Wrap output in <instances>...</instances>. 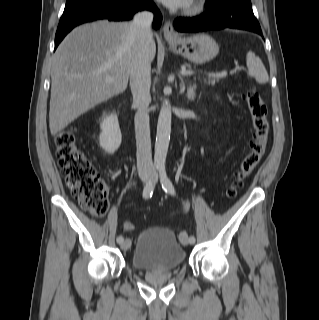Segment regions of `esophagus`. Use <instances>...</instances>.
Segmentation results:
<instances>
[{"mask_svg": "<svg viewBox=\"0 0 319 320\" xmlns=\"http://www.w3.org/2000/svg\"><path fill=\"white\" fill-rule=\"evenodd\" d=\"M163 34L166 40H172L178 37L173 24L170 21H166L163 26Z\"/></svg>", "mask_w": 319, "mask_h": 320, "instance_id": "obj_1", "label": "esophagus"}]
</instances>
